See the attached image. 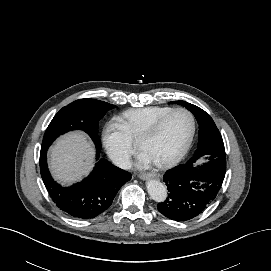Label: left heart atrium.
Segmentation results:
<instances>
[{"label":"left heart atrium","instance_id":"1","mask_svg":"<svg viewBox=\"0 0 271 271\" xmlns=\"http://www.w3.org/2000/svg\"><path fill=\"white\" fill-rule=\"evenodd\" d=\"M154 162V159L149 155V153L143 151L139 156L137 165L140 168H146Z\"/></svg>","mask_w":271,"mask_h":271}]
</instances>
